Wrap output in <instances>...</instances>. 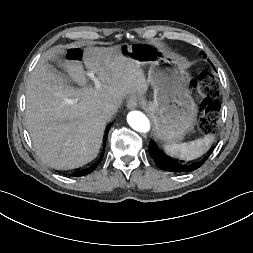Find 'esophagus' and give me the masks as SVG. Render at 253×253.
<instances>
[{"instance_id": "esophagus-1", "label": "esophagus", "mask_w": 253, "mask_h": 253, "mask_svg": "<svg viewBox=\"0 0 253 253\" xmlns=\"http://www.w3.org/2000/svg\"><path fill=\"white\" fill-rule=\"evenodd\" d=\"M139 98L136 95H131L127 100V107L128 109L132 110L138 107Z\"/></svg>"}]
</instances>
